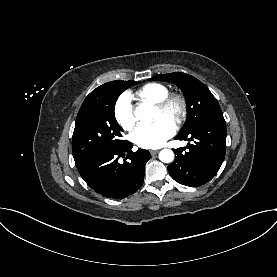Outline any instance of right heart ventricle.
<instances>
[{
    "label": "right heart ventricle",
    "instance_id": "1",
    "mask_svg": "<svg viewBox=\"0 0 277 277\" xmlns=\"http://www.w3.org/2000/svg\"><path fill=\"white\" fill-rule=\"evenodd\" d=\"M169 95V89L160 83H148L135 92V96L143 102L157 104Z\"/></svg>",
    "mask_w": 277,
    "mask_h": 277
}]
</instances>
